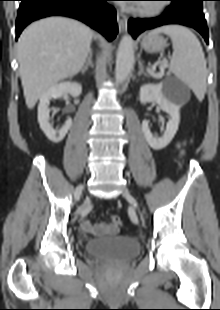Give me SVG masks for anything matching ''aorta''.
<instances>
[{"mask_svg":"<svg viewBox=\"0 0 220 310\" xmlns=\"http://www.w3.org/2000/svg\"><path fill=\"white\" fill-rule=\"evenodd\" d=\"M134 62V49L133 39L131 35L126 34L123 36L116 58L115 67V81L116 84H121L129 75Z\"/></svg>","mask_w":220,"mask_h":310,"instance_id":"obj_1","label":"aorta"}]
</instances>
